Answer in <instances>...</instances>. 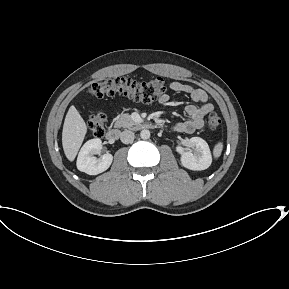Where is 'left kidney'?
Segmentation results:
<instances>
[{"label":"left kidney","mask_w":289,"mask_h":289,"mask_svg":"<svg viewBox=\"0 0 289 289\" xmlns=\"http://www.w3.org/2000/svg\"><path fill=\"white\" fill-rule=\"evenodd\" d=\"M189 147L194 149L192 151H184L180 146L177 151L180 153L181 164L190 170H205L212 163V156L210 148L205 140L200 137H191L187 139Z\"/></svg>","instance_id":"5707ae66"}]
</instances>
